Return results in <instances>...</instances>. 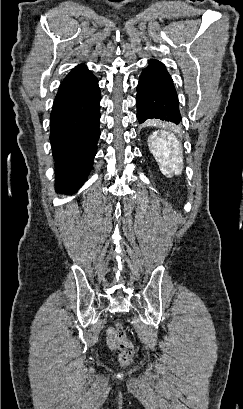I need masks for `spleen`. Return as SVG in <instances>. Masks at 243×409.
I'll return each instance as SVG.
<instances>
[{"label":"spleen","instance_id":"3e777b00","mask_svg":"<svg viewBox=\"0 0 243 409\" xmlns=\"http://www.w3.org/2000/svg\"><path fill=\"white\" fill-rule=\"evenodd\" d=\"M148 144L163 175L172 177L181 173L183 156L179 141L173 133L155 131L149 137Z\"/></svg>","mask_w":243,"mask_h":409}]
</instances>
